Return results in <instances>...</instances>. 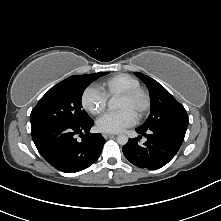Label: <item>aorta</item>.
Returning a JSON list of instances; mask_svg holds the SVG:
<instances>
[{
    "instance_id": "1",
    "label": "aorta",
    "mask_w": 221,
    "mask_h": 221,
    "mask_svg": "<svg viewBox=\"0 0 221 221\" xmlns=\"http://www.w3.org/2000/svg\"><path fill=\"white\" fill-rule=\"evenodd\" d=\"M117 100L115 98H111L109 100V103H108V107H109V110H115L117 108ZM117 142L120 144V145H125L127 144L128 142V137L124 134H120L117 136Z\"/></svg>"
}]
</instances>
